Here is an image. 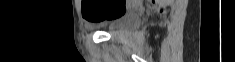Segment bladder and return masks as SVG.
I'll list each match as a JSON object with an SVG mask.
<instances>
[{
    "instance_id": "31cf9c89",
    "label": "bladder",
    "mask_w": 235,
    "mask_h": 62,
    "mask_svg": "<svg viewBox=\"0 0 235 62\" xmlns=\"http://www.w3.org/2000/svg\"><path fill=\"white\" fill-rule=\"evenodd\" d=\"M138 22L139 15L137 12L135 10H129L119 16L114 17L108 25V30L112 33L115 31L128 29L137 25Z\"/></svg>"
}]
</instances>
